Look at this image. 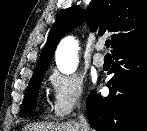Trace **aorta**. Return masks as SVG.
Segmentation results:
<instances>
[{
	"instance_id": "obj_1",
	"label": "aorta",
	"mask_w": 147,
	"mask_h": 131,
	"mask_svg": "<svg viewBox=\"0 0 147 131\" xmlns=\"http://www.w3.org/2000/svg\"><path fill=\"white\" fill-rule=\"evenodd\" d=\"M78 49L74 37H66L60 42L56 51V64L61 73L68 75L77 69Z\"/></svg>"
}]
</instances>
